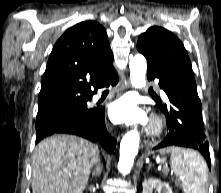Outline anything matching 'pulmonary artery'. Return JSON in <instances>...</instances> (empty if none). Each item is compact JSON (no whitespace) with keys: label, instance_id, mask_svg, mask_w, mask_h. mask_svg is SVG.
<instances>
[{"label":"pulmonary artery","instance_id":"e3ab8cb5","mask_svg":"<svg viewBox=\"0 0 221 193\" xmlns=\"http://www.w3.org/2000/svg\"><path fill=\"white\" fill-rule=\"evenodd\" d=\"M161 95H162V97L164 98V99H168V97H167V95L165 94V92L164 91H161ZM100 98V96L97 94V95H95L94 97H93V100L94 101H97L98 99Z\"/></svg>","mask_w":221,"mask_h":193}]
</instances>
